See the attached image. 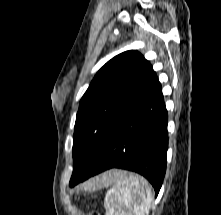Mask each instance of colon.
<instances>
[{
  "mask_svg": "<svg viewBox=\"0 0 221 215\" xmlns=\"http://www.w3.org/2000/svg\"><path fill=\"white\" fill-rule=\"evenodd\" d=\"M91 215H98L97 213H92Z\"/></svg>",
  "mask_w": 221,
  "mask_h": 215,
  "instance_id": "5ec220e1",
  "label": "colon"
}]
</instances>
